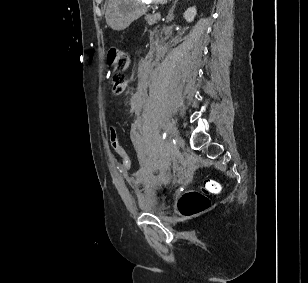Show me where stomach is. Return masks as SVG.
I'll use <instances>...</instances> for the list:
<instances>
[{
    "label": "stomach",
    "instance_id": "1",
    "mask_svg": "<svg viewBox=\"0 0 308 283\" xmlns=\"http://www.w3.org/2000/svg\"><path fill=\"white\" fill-rule=\"evenodd\" d=\"M155 4H164L167 0H151ZM147 12L142 0H113L105 11L107 25L115 31L126 29L134 20Z\"/></svg>",
    "mask_w": 308,
    "mask_h": 283
}]
</instances>
